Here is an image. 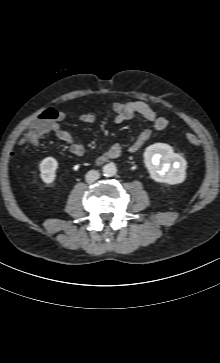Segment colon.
<instances>
[{
    "label": "colon",
    "instance_id": "1",
    "mask_svg": "<svg viewBox=\"0 0 220 363\" xmlns=\"http://www.w3.org/2000/svg\"><path fill=\"white\" fill-rule=\"evenodd\" d=\"M59 113L54 108L44 109L29 125L25 135L27 142L33 143L52 128V124L58 119ZM186 139L191 145H198L200 140L194 133H187Z\"/></svg>",
    "mask_w": 220,
    "mask_h": 363
}]
</instances>
